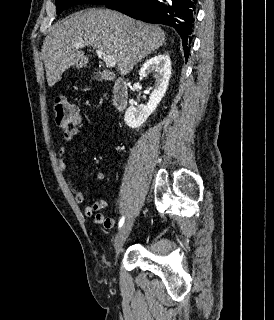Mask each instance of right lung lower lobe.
I'll return each instance as SVG.
<instances>
[{
	"label": "right lung lower lobe",
	"mask_w": 274,
	"mask_h": 320,
	"mask_svg": "<svg viewBox=\"0 0 274 320\" xmlns=\"http://www.w3.org/2000/svg\"><path fill=\"white\" fill-rule=\"evenodd\" d=\"M198 0H111L105 6L132 18L175 28L182 38L185 58L190 52Z\"/></svg>",
	"instance_id": "98d812e1"
}]
</instances>
